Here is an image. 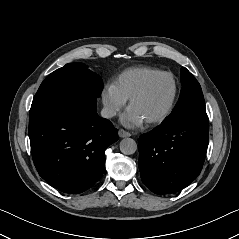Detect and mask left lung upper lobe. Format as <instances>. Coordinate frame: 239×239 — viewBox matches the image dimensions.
<instances>
[{
	"label": "left lung upper lobe",
	"mask_w": 239,
	"mask_h": 239,
	"mask_svg": "<svg viewBox=\"0 0 239 239\" xmlns=\"http://www.w3.org/2000/svg\"><path fill=\"white\" fill-rule=\"evenodd\" d=\"M181 83L182 89L179 100L170 116L164 122L171 121L188 111H205L201 86L186 68H181Z\"/></svg>",
	"instance_id": "1"
}]
</instances>
